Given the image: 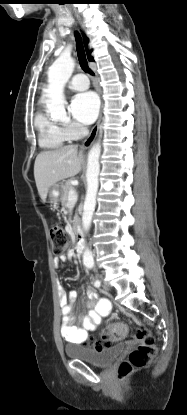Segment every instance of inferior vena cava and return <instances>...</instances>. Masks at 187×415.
Listing matches in <instances>:
<instances>
[{
	"label": "inferior vena cava",
	"mask_w": 187,
	"mask_h": 415,
	"mask_svg": "<svg viewBox=\"0 0 187 415\" xmlns=\"http://www.w3.org/2000/svg\"><path fill=\"white\" fill-rule=\"evenodd\" d=\"M80 132H81L82 135H88L89 130H88L87 127L81 126L80 127Z\"/></svg>",
	"instance_id": "602c4592"
}]
</instances>
